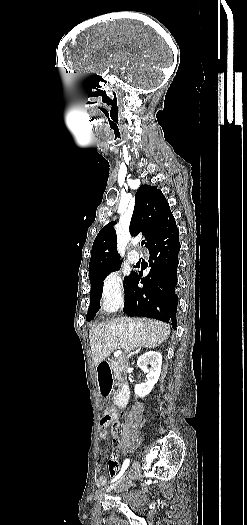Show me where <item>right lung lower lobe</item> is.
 Returning a JSON list of instances; mask_svg holds the SVG:
<instances>
[{
  "instance_id": "obj_1",
  "label": "right lung lower lobe",
  "mask_w": 247,
  "mask_h": 525,
  "mask_svg": "<svg viewBox=\"0 0 247 525\" xmlns=\"http://www.w3.org/2000/svg\"><path fill=\"white\" fill-rule=\"evenodd\" d=\"M145 246L149 250L150 272L141 279L134 274L125 286L124 312L129 316L148 317L161 320L176 327L178 296L179 230L176 226L154 237ZM143 284L142 288L138 283Z\"/></svg>"
}]
</instances>
